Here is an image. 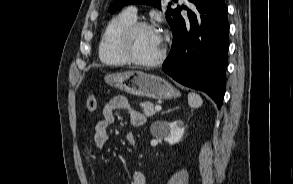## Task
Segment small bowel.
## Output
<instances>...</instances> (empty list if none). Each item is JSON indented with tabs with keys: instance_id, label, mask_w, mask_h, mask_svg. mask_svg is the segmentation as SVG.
<instances>
[{
	"instance_id": "c3829d8e",
	"label": "small bowel",
	"mask_w": 293,
	"mask_h": 184,
	"mask_svg": "<svg viewBox=\"0 0 293 184\" xmlns=\"http://www.w3.org/2000/svg\"><path fill=\"white\" fill-rule=\"evenodd\" d=\"M125 111L133 126H141L145 123V116L140 111L133 108L129 101L123 96L112 98L103 108L102 117L97 121L94 128V142L98 148H104L108 144V128L115 121L117 111ZM125 140L130 145H135L136 139L133 133H127ZM101 184V183H98ZM130 184H146L145 175L142 172H134Z\"/></svg>"
}]
</instances>
